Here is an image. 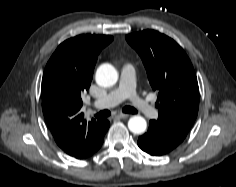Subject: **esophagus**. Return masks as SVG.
Wrapping results in <instances>:
<instances>
[{"label": "esophagus", "instance_id": "34e87169", "mask_svg": "<svg viewBox=\"0 0 236 187\" xmlns=\"http://www.w3.org/2000/svg\"><path fill=\"white\" fill-rule=\"evenodd\" d=\"M129 115L128 114H124V113H119L116 115V118H120V119H125L128 118Z\"/></svg>", "mask_w": 236, "mask_h": 187}]
</instances>
